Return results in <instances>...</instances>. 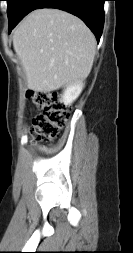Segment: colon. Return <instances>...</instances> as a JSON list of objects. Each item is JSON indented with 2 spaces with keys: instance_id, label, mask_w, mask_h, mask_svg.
<instances>
[{
  "instance_id": "1",
  "label": "colon",
  "mask_w": 133,
  "mask_h": 253,
  "mask_svg": "<svg viewBox=\"0 0 133 253\" xmlns=\"http://www.w3.org/2000/svg\"><path fill=\"white\" fill-rule=\"evenodd\" d=\"M28 97L39 110L32 121V133L38 140L49 141L57 137L66 125L68 114L56 92L30 91Z\"/></svg>"
}]
</instances>
